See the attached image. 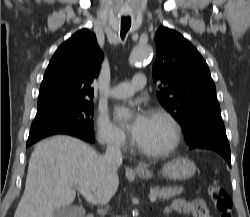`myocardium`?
Returning a JSON list of instances; mask_svg holds the SVG:
<instances>
[{
	"label": "myocardium",
	"mask_w": 250,
	"mask_h": 217,
	"mask_svg": "<svg viewBox=\"0 0 250 217\" xmlns=\"http://www.w3.org/2000/svg\"><path fill=\"white\" fill-rule=\"evenodd\" d=\"M153 115H156L163 119L170 127L171 138L167 146L159 150H149L137 145L140 153L148 157L158 158L164 157L172 153L179 145L181 139V126L177 119L167 110L163 108H155L152 111Z\"/></svg>",
	"instance_id": "myocardium-1"
}]
</instances>
